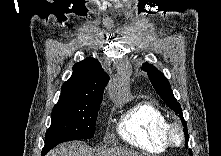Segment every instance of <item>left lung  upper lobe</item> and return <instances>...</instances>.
Instances as JSON below:
<instances>
[{"label": "left lung upper lobe", "mask_w": 221, "mask_h": 156, "mask_svg": "<svg viewBox=\"0 0 221 156\" xmlns=\"http://www.w3.org/2000/svg\"><path fill=\"white\" fill-rule=\"evenodd\" d=\"M142 69L147 72V75L161 97V99L172 109L175 111L178 116L183 117L182 110L180 104L177 102L176 98L173 95L170 83L155 66L146 62Z\"/></svg>", "instance_id": "5c2ea615"}]
</instances>
